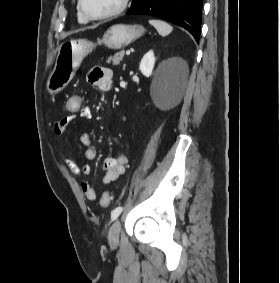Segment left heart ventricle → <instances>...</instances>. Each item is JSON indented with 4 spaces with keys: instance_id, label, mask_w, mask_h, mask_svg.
<instances>
[{
    "instance_id": "1",
    "label": "left heart ventricle",
    "mask_w": 280,
    "mask_h": 283,
    "mask_svg": "<svg viewBox=\"0 0 280 283\" xmlns=\"http://www.w3.org/2000/svg\"><path fill=\"white\" fill-rule=\"evenodd\" d=\"M121 0H83L85 10L92 15H101L116 9Z\"/></svg>"
}]
</instances>
